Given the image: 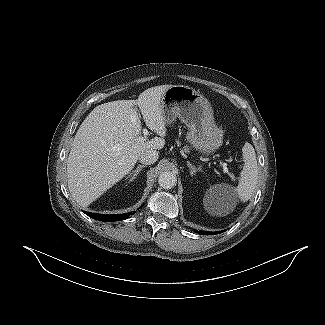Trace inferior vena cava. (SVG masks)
I'll return each instance as SVG.
<instances>
[{
    "label": "inferior vena cava",
    "mask_w": 325,
    "mask_h": 325,
    "mask_svg": "<svg viewBox=\"0 0 325 325\" xmlns=\"http://www.w3.org/2000/svg\"><path fill=\"white\" fill-rule=\"evenodd\" d=\"M139 162L142 164L150 165L157 161L158 152L156 150H145L139 155Z\"/></svg>",
    "instance_id": "obj_1"
}]
</instances>
